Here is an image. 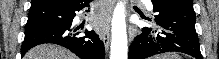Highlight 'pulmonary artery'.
I'll use <instances>...</instances> for the list:
<instances>
[{"instance_id":"obj_1","label":"pulmonary artery","mask_w":219,"mask_h":59,"mask_svg":"<svg viewBox=\"0 0 219 59\" xmlns=\"http://www.w3.org/2000/svg\"><path fill=\"white\" fill-rule=\"evenodd\" d=\"M141 2L147 10H152L151 1H141Z\"/></svg>"}]
</instances>
